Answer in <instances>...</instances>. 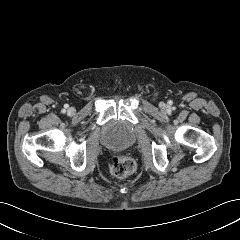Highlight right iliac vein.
I'll use <instances>...</instances> for the list:
<instances>
[{
	"instance_id": "right-iliac-vein-1",
	"label": "right iliac vein",
	"mask_w": 240,
	"mask_h": 240,
	"mask_svg": "<svg viewBox=\"0 0 240 240\" xmlns=\"http://www.w3.org/2000/svg\"><path fill=\"white\" fill-rule=\"evenodd\" d=\"M68 112H69L70 114H73V113L75 112V109H74L73 107H71V108H69Z\"/></svg>"
}]
</instances>
